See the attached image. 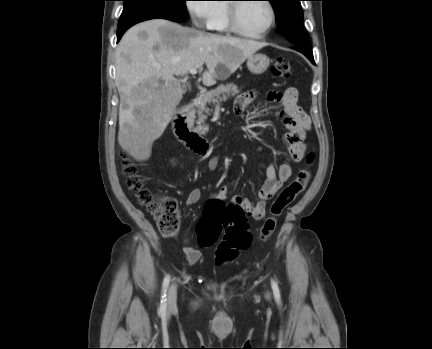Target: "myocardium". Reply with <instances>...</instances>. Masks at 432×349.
Returning a JSON list of instances; mask_svg holds the SVG:
<instances>
[{
    "mask_svg": "<svg viewBox=\"0 0 432 349\" xmlns=\"http://www.w3.org/2000/svg\"><path fill=\"white\" fill-rule=\"evenodd\" d=\"M234 1H242V0H234ZM262 2L266 3V5L270 10V15H271L270 22L264 31L260 33H250L242 29L238 19V8L241 6L242 2H230L227 5V21H228L229 30L237 35L246 38H251V39H262L266 37L276 24L277 13H276L275 6L271 0H263Z\"/></svg>",
    "mask_w": 432,
    "mask_h": 349,
    "instance_id": "myocardium-1",
    "label": "myocardium"
}]
</instances>
